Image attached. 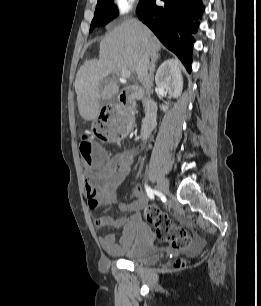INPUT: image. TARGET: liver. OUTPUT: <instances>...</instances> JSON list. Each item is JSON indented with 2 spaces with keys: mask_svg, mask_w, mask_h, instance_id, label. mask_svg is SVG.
Returning a JSON list of instances; mask_svg holds the SVG:
<instances>
[{
  "mask_svg": "<svg viewBox=\"0 0 261 306\" xmlns=\"http://www.w3.org/2000/svg\"><path fill=\"white\" fill-rule=\"evenodd\" d=\"M161 43L151 30L135 18H128L115 27L101 42L99 60L85 62L75 80L78 110L84 120L97 118L100 99H111L118 94L116 83L107 84L100 90V83L110 73H131L144 53L153 60L159 58Z\"/></svg>",
  "mask_w": 261,
  "mask_h": 306,
  "instance_id": "liver-1",
  "label": "liver"
}]
</instances>
